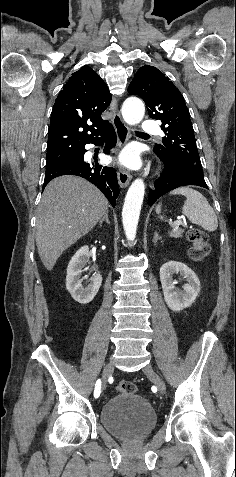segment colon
Returning <instances> with one entry per match:
<instances>
[{"label":"colon","instance_id":"1","mask_svg":"<svg viewBox=\"0 0 236 477\" xmlns=\"http://www.w3.org/2000/svg\"><path fill=\"white\" fill-rule=\"evenodd\" d=\"M187 238L191 244L188 251L189 256L197 262L204 260L210 252L206 233L198 228H193L188 231ZM116 389L121 393L134 394L136 385L131 381L121 380L117 382Z\"/></svg>","mask_w":236,"mask_h":477}]
</instances>
